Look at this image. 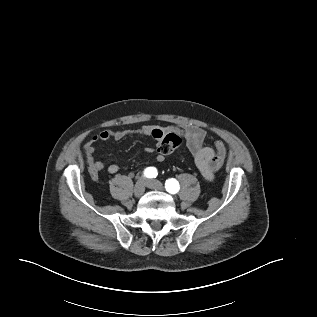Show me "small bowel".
<instances>
[{
	"label": "small bowel",
	"mask_w": 317,
	"mask_h": 317,
	"mask_svg": "<svg viewBox=\"0 0 317 317\" xmlns=\"http://www.w3.org/2000/svg\"><path fill=\"white\" fill-rule=\"evenodd\" d=\"M171 131L174 130L170 128H159L152 125H146L136 130L107 129L102 131L100 134L93 136L84 147L88 171L91 177L93 179H98L100 172L105 168L104 163L95 158L97 142L108 141L110 139L120 141L131 135L152 136L160 142L162 138ZM176 132L181 133L185 138L187 149L193 156L195 165L201 175L206 180H213L215 172L221 168L227 155L225 143L218 140L214 143L213 147L204 146L206 131L202 127L195 125H181ZM145 153L149 155L154 154L155 159L158 162H162L164 160L165 155H163L159 150L148 147L145 149ZM106 170L109 174H116L119 171V166L117 164H110L107 166Z\"/></svg>",
	"instance_id": "small-bowel-1"
}]
</instances>
